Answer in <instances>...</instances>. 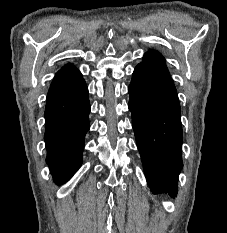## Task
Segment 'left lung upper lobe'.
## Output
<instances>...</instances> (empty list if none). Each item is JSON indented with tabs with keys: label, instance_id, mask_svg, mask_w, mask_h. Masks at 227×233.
<instances>
[{
	"label": "left lung upper lobe",
	"instance_id": "obj_1",
	"mask_svg": "<svg viewBox=\"0 0 227 233\" xmlns=\"http://www.w3.org/2000/svg\"><path fill=\"white\" fill-rule=\"evenodd\" d=\"M138 66L147 67L156 72L169 75V71L166 67L164 57L158 51L155 50L147 52L143 58V61L140 64H138Z\"/></svg>",
	"mask_w": 227,
	"mask_h": 233
}]
</instances>
